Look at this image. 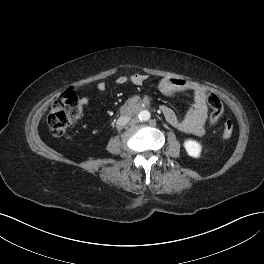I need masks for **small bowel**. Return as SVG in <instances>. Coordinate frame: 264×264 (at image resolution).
<instances>
[{"mask_svg": "<svg viewBox=\"0 0 264 264\" xmlns=\"http://www.w3.org/2000/svg\"><path fill=\"white\" fill-rule=\"evenodd\" d=\"M148 79L145 74L137 73L131 76H120L115 80V85L120 87L124 85L141 86ZM100 92L107 89L106 83L101 81L97 84ZM159 91L164 95H172L180 92H190L193 96V105L184 118H180L172 108L166 105L161 106V113L165 120L177 130L193 135H203L208 117V108L206 104L207 90L193 81L178 78H162L158 83ZM89 99L83 97L82 105H88Z\"/></svg>", "mask_w": 264, "mask_h": 264, "instance_id": "small-bowel-1", "label": "small bowel"}]
</instances>
